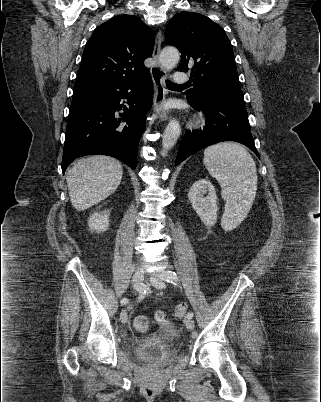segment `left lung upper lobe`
<instances>
[{
  "label": "left lung upper lobe",
  "instance_id": "5c2ea615",
  "mask_svg": "<svg viewBox=\"0 0 321 402\" xmlns=\"http://www.w3.org/2000/svg\"><path fill=\"white\" fill-rule=\"evenodd\" d=\"M165 39L181 52L178 71L191 69L194 88L187 91L188 101L197 102L213 90H241L231 43L208 17L177 13L167 25Z\"/></svg>",
  "mask_w": 321,
  "mask_h": 402
}]
</instances>
